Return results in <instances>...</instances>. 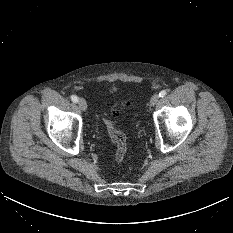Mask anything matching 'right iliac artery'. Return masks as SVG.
<instances>
[{
	"mask_svg": "<svg viewBox=\"0 0 233 233\" xmlns=\"http://www.w3.org/2000/svg\"><path fill=\"white\" fill-rule=\"evenodd\" d=\"M71 100L74 102V103H77L78 102V97L76 95H71Z\"/></svg>",
	"mask_w": 233,
	"mask_h": 233,
	"instance_id": "right-iliac-artery-1",
	"label": "right iliac artery"
}]
</instances>
